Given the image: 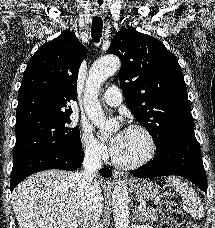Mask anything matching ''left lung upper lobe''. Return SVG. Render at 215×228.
<instances>
[{
	"label": "left lung upper lobe",
	"mask_w": 215,
	"mask_h": 228,
	"mask_svg": "<svg viewBox=\"0 0 215 228\" xmlns=\"http://www.w3.org/2000/svg\"><path fill=\"white\" fill-rule=\"evenodd\" d=\"M121 60L120 86L127 105L156 146L194 130L184 76L177 58L158 39L121 29L108 49Z\"/></svg>",
	"instance_id": "5c2ea615"
}]
</instances>
